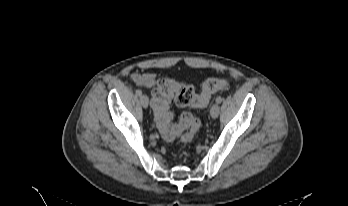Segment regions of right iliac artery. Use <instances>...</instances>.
Segmentation results:
<instances>
[{"label":"right iliac artery","mask_w":348,"mask_h":206,"mask_svg":"<svg viewBox=\"0 0 348 206\" xmlns=\"http://www.w3.org/2000/svg\"><path fill=\"white\" fill-rule=\"evenodd\" d=\"M136 94H137L138 96H140V95L142 94V91H141L140 89H137V90H136Z\"/></svg>","instance_id":"1"}]
</instances>
